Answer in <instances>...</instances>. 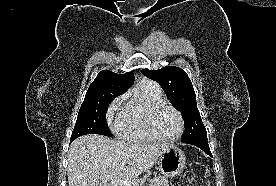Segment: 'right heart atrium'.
I'll list each match as a JSON object with an SVG mask.
<instances>
[{
	"label": "right heart atrium",
	"instance_id": "right-heart-atrium-1",
	"mask_svg": "<svg viewBox=\"0 0 276 186\" xmlns=\"http://www.w3.org/2000/svg\"><path fill=\"white\" fill-rule=\"evenodd\" d=\"M125 95L117 97L109 106L107 111V118L110 126L114 130H118L125 119Z\"/></svg>",
	"mask_w": 276,
	"mask_h": 186
}]
</instances>
